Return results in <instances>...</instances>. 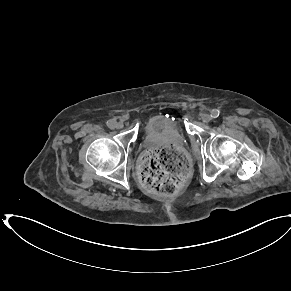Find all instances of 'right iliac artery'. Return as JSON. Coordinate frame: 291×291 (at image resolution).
Instances as JSON below:
<instances>
[{"instance_id":"1","label":"right iliac artery","mask_w":291,"mask_h":291,"mask_svg":"<svg viewBox=\"0 0 291 291\" xmlns=\"http://www.w3.org/2000/svg\"><path fill=\"white\" fill-rule=\"evenodd\" d=\"M116 121H114V120H108L107 122H106V125L108 126V128H110V129H114L115 127H116Z\"/></svg>"}]
</instances>
